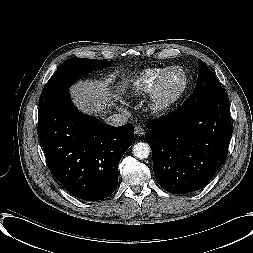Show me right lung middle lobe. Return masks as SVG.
Wrapping results in <instances>:
<instances>
[{"mask_svg":"<svg viewBox=\"0 0 253 253\" xmlns=\"http://www.w3.org/2000/svg\"><path fill=\"white\" fill-rule=\"evenodd\" d=\"M112 61L84 58H70L64 61L46 83L39 103V115L43 114L61 95L68 92V88L77 78L95 70L103 69Z\"/></svg>","mask_w":253,"mask_h":253,"instance_id":"1","label":"right lung middle lobe"}]
</instances>
